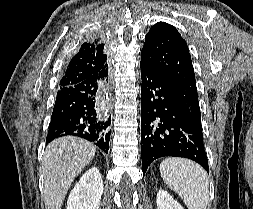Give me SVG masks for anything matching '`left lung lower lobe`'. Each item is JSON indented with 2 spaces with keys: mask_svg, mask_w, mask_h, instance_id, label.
<instances>
[{
  "mask_svg": "<svg viewBox=\"0 0 253 209\" xmlns=\"http://www.w3.org/2000/svg\"><path fill=\"white\" fill-rule=\"evenodd\" d=\"M142 171L160 157H184L209 172L202 126L180 105L170 86L142 64Z\"/></svg>",
  "mask_w": 253,
  "mask_h": 209,
  "instance_id": "0a47b994",
  "label": "left lung lower lobe"
}]
</instances>
